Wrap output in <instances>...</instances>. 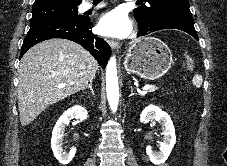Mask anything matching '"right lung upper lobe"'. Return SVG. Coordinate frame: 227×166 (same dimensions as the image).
Wrapping results in <instances>:
<instances>
[{
  "instance_id": "1",
  "label": "right lung upper lobe",
  "mask_w": 227,
  "mask_h": 166,
  "mask_svg": "<svg viewBox=\"0 0 227 166\" xmlns=\"http://www.w3.org/2000/svg\"><path fill=\"white\" fill-rule=\"evenodd\" d=\"M82 0H35L34 5L47 4V3H64L79 5Z\"/></svg>"
}]
</instances>
